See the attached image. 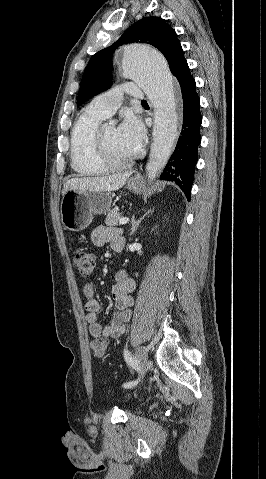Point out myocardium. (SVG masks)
<instances>
[{
  "label": "myocardium",
  "mask_w": 266,
  "mask_h": 479,
  "mask_svg": "<svg viewBox=\"0 0 266 479\" xmlns=\"http://www.w3.org/2000/svg\"><path fill=\"white\" fill-rule=\"evenodd\" d=\"M95 141L97 158L108 170H121L130 165V158L124 161H117L111 157L106 145L103 129L97 130Z\"/></svg>",
  "instance_id": "f54148a6"
}]
</instances>
